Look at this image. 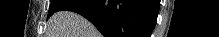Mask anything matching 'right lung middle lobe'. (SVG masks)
<instances>
[{
    "instance_id": "dd1d6c3e",
    "label": "right lung middle lobe",
    "mask_w": 219,
    "mask_h": 37,
    "mask_svg": "<svg viewBox=\"0 0 219 37\" xmlns=\"http://www.w3.org/2000/svg\"><path fill=\"white\" fill-rule=\"evenodd\" d=\"M66 0H51L50 10L48 12V17H50L53 13L59 11L61 6L65 4Z\"/></svg>"
}]
</instances>
